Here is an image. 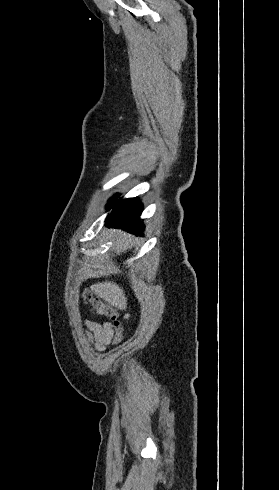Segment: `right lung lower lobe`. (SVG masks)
<instances>
[{
	"label": "right lung lower lobe",
	"instance_id": "1",
	"mask_svg": "<svg viewBox=\"0 0 279 490\" xmlns=\"http://www.w3.org/2000/svg\"><path fill=\"white\" fill-rule=\"evenodd\" d=\"M142 210L143 204L137 198L119 201L115 204L110 217L106 219L105 225L141 233L144 229V224L139 218Z\"/></svg>",
	"mask_w": 279,
	"mask_h": 490
}]
</instances>
